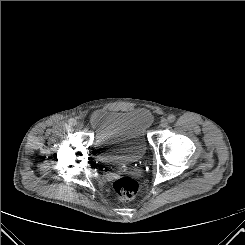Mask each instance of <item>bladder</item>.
<instances>
[{"instance_id":"obj_1","label":"bladder","mask_w":245,"mask_h":245,"mask_svg":"<svg viewBox=\"0 0 245 245\" xmlns=\"http://www.w3.org/2000/svg\"><path fill=\"white\" fill-rule=\"evenodd\" d=\"M152 123L153 115L144 107L92 112L89 124L100 161L106 165H124L140 160L147 150V133Z\"/></svg>"}]
</instances>
